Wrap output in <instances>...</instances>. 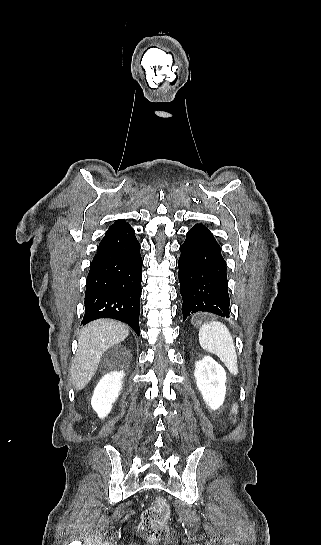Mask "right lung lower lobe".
I'll return each mask as SVG.
<instances>
[{
  "label": "right lung lower lobe",
  "mask_w": 321,
  "mask_h": 545,
  "mask_svg": "<svg viewBox=\"0 0 321 545\" xmlns=\"http://www.w3.org/2000/svg\"><path fill=\"white\" fill-rule=\"evenodd\" d=\"M140 248L130 225L106 232L87 277L82 325L99 318H113L140 334Z\"/></svg>",
  "instance_id": "obj_1"
}]
</instances>
